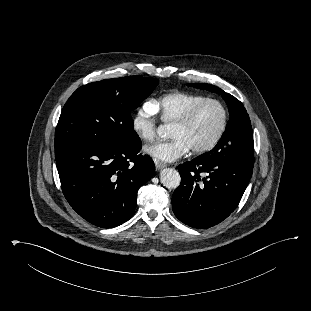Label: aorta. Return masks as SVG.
I'll list each match as a JSON object with an SVG mask.
<instances>
[{
    "label": "aorta",
    "mask_w": 311,
    "mask_h": 311,
    "mask_svg": "<svg viewBox=\"0 0 311 311\" xmlns=\"http://www.w3.org/2000/svg\"><path fill=\"white\" fill-rule=\"evenodd\" d=\"M157 134L161 139H166L169 136V127L164 124L159 125ZM160 181L166 188L174 189L180 185L181 177L177 170L165 168L160 172Z\"/></svg>",
    "instance_id": "obj_1"
}]
</instances>
